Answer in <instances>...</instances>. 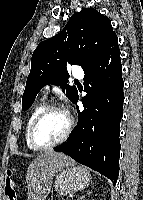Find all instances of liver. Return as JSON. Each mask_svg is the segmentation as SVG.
Returning <instances> with one entry per match:
<instances>
[{
  "instance_id": "1",
  "label": "liver",
  "mask_w": 143,
  "mask_h": 200,
  "mask_svg": "<svg viewBox=\"0 0 143 200\" xmlns=\"http://www.w3.org/2000/svg\"><path fill=\"white\" fill-rule=\"evenodd\" d=\"M69 156L58 152H44L27 169L28 200H45L56 173L65 166L74 165Z\"/></svg>"
}]
</instances>
